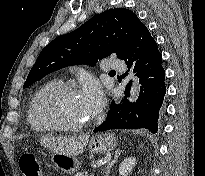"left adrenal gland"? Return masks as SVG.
<instances>
[{
	"instance_id": "1",
	"label": "left adrenal gland",
	"mask_w": 205,
	"mask_h": 176,
	"mask_svg": "<svg viewBox=\"0 0 205 176\" xmlns=\"http://www.w3.org/2000/svg\"><path fill=\"white\" fill-rule=\"evenodd\" d=\"M121 153H122V150H120V149H117L115 151V154H114L113 158L111 159V161L109 162V164L106 168L104 176H109L110 175V170H111L112 166L114 165V163L117 161L118 157L121 155Z\"/></svg>"
}]
</instances>
